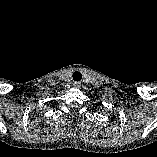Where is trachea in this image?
<instances>
[{
    "label": "trachea",
    "mask_w": 157,
    "mask_h": 157,
    "mask_svg": "<svg viewBox=\"0 0 157 157\" xmlns=\"http://www.w3.org/2000/svg\"><path fill=\"white\" fill-rule=\"evenodd\" d=\"M72 77L74 81H80L82 79V74L78 71H75Z\"/></svg>",
    "instance_id": "1"
}]
</instances>
